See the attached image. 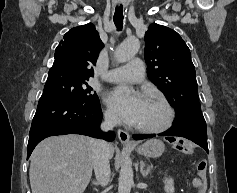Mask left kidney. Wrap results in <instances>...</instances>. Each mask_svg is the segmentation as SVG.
Instances as JSON below:
<instances>
[{
    "label": "left kidney",
    "instance_id": "obj_1",
    "mask_svg": "<svg viewBox=\"0 0 237 193\" xmlns=\"http://www.w3.org/2000/svg\"><path fill=\"white\" fill-rule=\"evenodd\" d=\"M164 184V190L166 193H174V182L172 178H165Z\"/></svg>",
    "mask_w": 237,
    "mask_h": 193
}]
</instances>
